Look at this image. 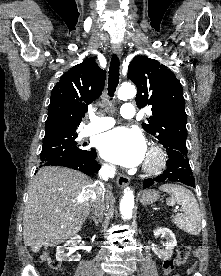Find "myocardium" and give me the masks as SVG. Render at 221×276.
I'll list each match as a JSON object with an SVG mask.
<instances>
[{"mask_svg":"<svg viewBox=\"0 0 221 276\" xmlns=\"http://www.w3.org/2000/svg\"><path fill=\"white\" fill-rule=\"evenodd\" d=\"M167 155L165 150L159 145H152L147 153L143 169L147 173H156L166 164Z\"/></svg>","mask_w":221,"mask_h":276,"instance_id":"f54148a6","label":"myocardium"}]
</instances>
